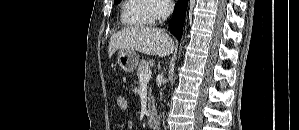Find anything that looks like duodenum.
Instances as JSON below:
<instances>
[{
	"label": "duodenum",
	"mask_w": 299,
	"mask_h": 130,
	"mask_svg": "<svg viewBox=\"0 0 299 130\" xmlns=\"http://www.w3.org/2000/svg\"><path fill=\"white\" fill-rule=\"evenodd\" d=\"M147 123L149 127H151L152 129H156L159 124L158 116L154 113H151L147 118Z\"/></svg>",
	"instance_id": "duodenum-1"
}]
</instances>
